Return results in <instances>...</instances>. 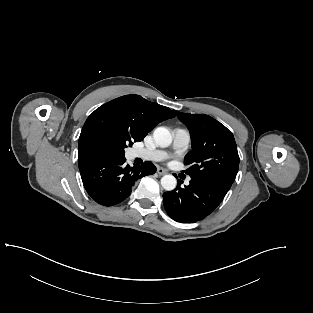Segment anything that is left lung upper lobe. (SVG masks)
<instances>
[{
  "instance_id": "obj_1",
  "label": "left lung upper lobe",
  "mask_w": 313,
  "mask_h": 313,
  "mask_svg": "<svg viewBox=\"0 0 313 313\" xmlns=\"http://www.w3.org/2000/svg\"><path fill=\"white\" fill-rule=\"evenodd\" d=\"M175 113L191 135L192 151L184 160L190 167L185 173L193 179L214 181L230 188L240 161L232 132L208 115Z\"/></svg>"
}]
</instances>
